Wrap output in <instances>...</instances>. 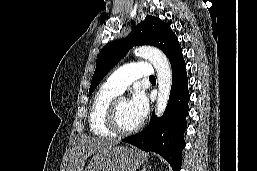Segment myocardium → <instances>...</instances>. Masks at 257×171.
Instances as JSON below:
<instances>
[{
	"mask_svg": "<svg viewBox=\"0 0 257 171\" xmlns=\"http://www.w3.org/2000/svg\"><path fill=\"white\" fill-rule=\"evenodd\" d=\"M119 102H120L119 99H115L110 103L108 107L106 124L109 130L113 132L115 135H120V136L130 135L140 130L143 125L142 121H140L136 126L130 129H124L120 126L118 121V114H117V106Z\"/></svg>",
	"mask_w": 257,
	"mask_h": 171,
	"instance_id": "1",
	"label": "myocardium"
}]
</instances>
